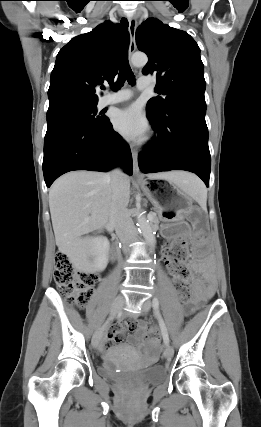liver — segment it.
Masks as SVG:
<instances>
[{"instance_id": "obj_1", "label": "liver", "mask_w": 261, "mask_h": 427, "mask_svg": "<svg viewBox=\"0 0 261 427\" xmlns=\"http://www.w3.org/2000/svg\"><path fill=\"white\" fill-rule=\"evenodd\" d=\"M181 185L186 173L150 174ZM130 188V179L127 177ZM130 191V190H129ZM109 174L95 171H74L58 178L49 190V207L56 245L59 251H75L79 263L89 268L92 241L82 238L93 231H102L108 221L112 202Z\"/></svg>"}]
</instances>
